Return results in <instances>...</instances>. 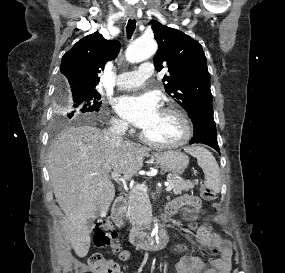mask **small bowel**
Instances as JSON below:
<instances>
[{
    "instance_id": "c3829d8e",
    "label": "small bowel",
    "mask_w": 285,
    "mask_h": 273,
    "mask_svg": "<svg viewBox=\"0 0 285 273\" xmlns=\"http://www.w3.org/2000/svg\"><path fill=\"white\" fill-rule=\"evenodd\" d=\"M192 205L193 209L188 210L187 206ZM199 212L202 210L200 198L192 195H183L174 200L167 208L169 214L179 210ZM201 231H196L198 244L203 249H209L219 254V257L210 261V266L195 256H183L175 264V273H230L232 249L229 241L222 239L214 232L208 224L200 226ZM187 250L184 244H177L174 248L176 253Z\"/></svg>"
}]
</instances>
